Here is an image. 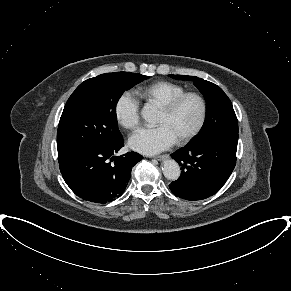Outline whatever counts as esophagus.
<instances>
[{
	"instance_id": "obj_1",
	"label": "esophagus",
	"mask_w": 291,
	"mask_h": 291,
	"mask_svg": "<svg viewBox=\"0 0 291 291\" xmlns=\"http://www.w3.org/2000/svg\"><path fill=\"white\" fill-rule=\"evenodd\" d=\"M168 157H169V154H162V155L156 156L155 159L158 161H163L164 159H167Z\"/></svg>"
}]
</instances>
